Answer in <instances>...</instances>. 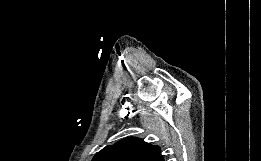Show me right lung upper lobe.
Segmentation results:
<instances>
[{"instance_id":"right-lung-upper-lobe-1","label":"right lung upper lobe","mask_w":261,"mask_h":161,"mask_svg":"<svg viewBox=\"0 0 261 161\" xmlns=\"http://www.w3.org/2000/svg\"><path fill=\"white\" fill-rule=\"evenodd\" d=\"M92 161H164V159L158 146L130 137L106 146Z\"/></svg>"}]
</instances>
